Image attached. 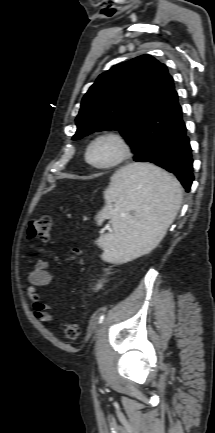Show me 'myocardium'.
<instances>
[{"instance_id":"1","label":"myocardium","mask_w":215,"mask_h":433,"mask_svg":"<svg viewBox=\"0 0 215 433\" xmlns=\"http://www.w3.org/2000/svg\"><path fill=\"white\" fill-rule=\"evenodd\" d=\"M104 139H111L115 141L118 144L119 153L117 157L111 162L104 163V164L93 163L89 157L90 151L97 142ZM130 155H131V146L123 134L117 131H105L96 135L89 142L85 151V160L91 167L95 169L108 170V169L117 168L120 165H122L124 162H126L129 159Z\"/></svg>"}]
</instances>
